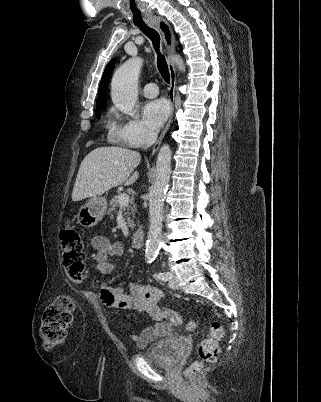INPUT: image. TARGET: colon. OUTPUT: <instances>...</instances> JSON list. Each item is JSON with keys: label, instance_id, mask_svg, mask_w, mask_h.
<instances>
[{"label": "colon", "instance_id": "1", "mask_svg": "<svg viewBox=\"0 0 321 402\" xmlns=\"http://www.w3.org/2000/svg\"><path fill=\"white\" fill-rule=\"evenodd\" d=\"M61 244L65 273L68 279L78 286L82 280L85 263L83 237L74 226L70 225L61 232ZM75 307V300L71 296L61 295L45 308L40 326V337L46 348L51 349L64 343ZM173 319L176 322L180 321L177 314L173 315ZM190 327L193 328L194 324L190 323ZM224 335L222 325L214 322L211 326V336L202 340L198 345V360L193 362L186 371L187 377H192L198 372L203 363H212L217 360L218 341L223 339Z\"/></svg>", "mask_w": 321, "mask_h": 402}]
</instances>
